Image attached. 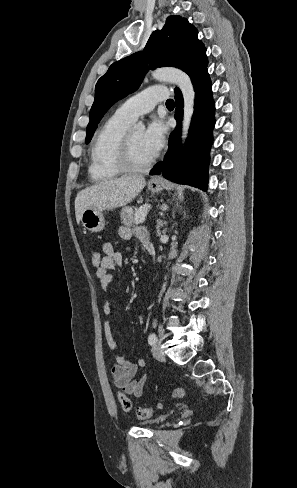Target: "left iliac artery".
<instances>
[{
  "label": "left iliac artery",
  "mask_w": 297,
  "mask_h": 488,
  "mask_svg": "<svg viewBox=\"0 0 297 488\" xmlns=\"http://www.w3.org/2000/svg\"><path fill=\"white\" fill-rule=\"evenodd\" d=\"M157 341V337L155 333H151L148 337V342L150 345H153Z\"/></svg>",
  "instance_id": "44dca946"
}]
</instances>
